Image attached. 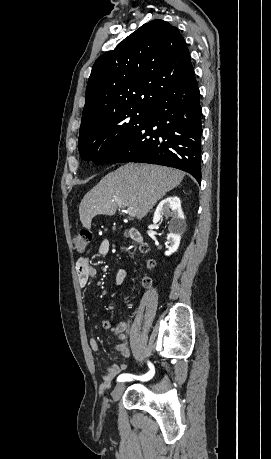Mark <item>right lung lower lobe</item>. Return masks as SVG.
Masks as SVG:
<instances>
[{"mask_svg": "<svg viewBox=\"0 0 271 459\" xmlns=\"http://www.w3.org/2000/svg\"><path fill=\"white\" fill-rule=\"evenodd\" d=\"M195 75L157 97L148 117L107 163L143 162L186 171L201 181L202 107Z\"/></svg>", "mask_w": 271, "mask_h": 459, "instance_id": "obj_1", "label": "right lung lower lobe"}]
</instances>
